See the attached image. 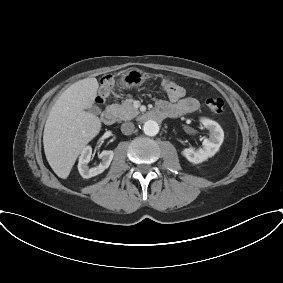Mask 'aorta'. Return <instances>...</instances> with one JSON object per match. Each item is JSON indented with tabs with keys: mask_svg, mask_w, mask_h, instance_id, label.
<instances>
[{
	"mask_svg": "<svg viewBox=\"0 0 283 283\" xmlns=\"http://www.w3.org/2000/svg\"><path fill=\"white\" fill-rule=\"evenodd\" d=\"M144 133L148 136H155L159 132V125L154 120H148L143 126Z\"/></svg>",
	"mask_w": 283,
	"mask_h": 283,
	"instance_id": "obj_1",
	"label": "aorta"
}]
</instances>
